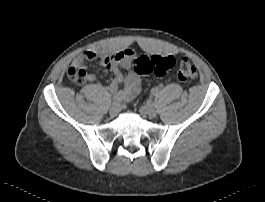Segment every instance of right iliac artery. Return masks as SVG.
Segmentation results:
<instances>
[{
	"label": "right iliac artery",
	"instance_id": "right-iliac-artery-1",
	"mask_svg": "<svg viewBox=\"0 0 265 202\" xmlns=\"http://www.w3.org/2000/svg\"><path fill=\"white\" fill-rule=\"evenodd\" d=\"M121 101H122V98L118 95L112 98V104H117V103H120Z\"/></svg>",
	"mask_w": 265,
	"mask_h": 202
}]
</instances>
